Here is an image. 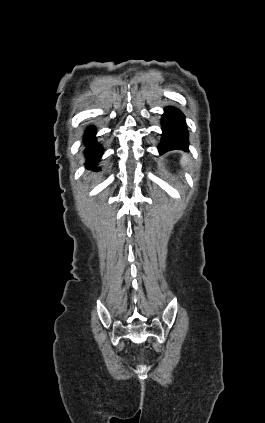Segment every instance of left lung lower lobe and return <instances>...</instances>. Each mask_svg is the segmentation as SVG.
<instances>
[{
    "instance_id": "obj_1",
    "label": "left lung lower lobe",
    "mask_w": 265,
    "mask_h": 423,
    "mask_svg": "<svg viewBox=\"0 0 265 423\" xmlns=\"http://www.w3.org/2000/svg\"><path fill=\"white\" fill-rule=\"evenodd\" d=\"M161 120L163 134L159 151L186 148L188 130L183 113L175 107H166Z\"/></svg>"
}]
</instances>
